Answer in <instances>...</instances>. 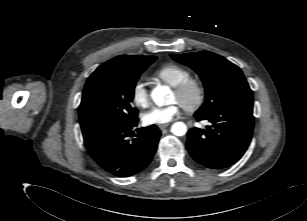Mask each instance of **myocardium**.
<instances>
[{
  "label": "myocardium",
  "mask_w": 307,
  "mask_h": 221,
  "mask_svg": "<svg viewBox=\"0 0 307 221\" xmlns=\"http://www.w3.org/2000/svg\"><path fill=\"white\" fill-rule=\"evenodd\" d=\"M173 91L180 97V103L189 113L199 111L206 101V87L196 79L189 78L175 86Z\"/></svg>",
  "instance_id": "f54148a6"
}]
</instances>
